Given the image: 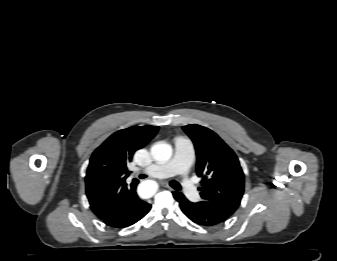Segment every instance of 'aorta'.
<instances>
[{
    "instance_id": "1",
    "label": "aorta",
    "mask_w": 337,
    "mask_h": 261,
    "mask_svg": "<svg viewBox=\"0 0 337 261\" xmlns=\"http://www.w3.org/2000/svg\"><path fill=\"white\" fill-rule=\"evenodd\" d=\"M153 159L159 163L167 162L172 156V147L166 143H156L151 147ZM158 185L153 180H145L138 186V194L143 198L152 197L157 191Z\"/></svg>"
}]
</instances>
